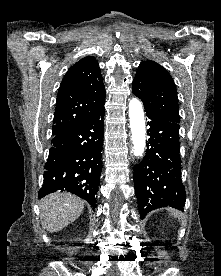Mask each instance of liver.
<instances>
[{
  "label": "liver",
  "mask_w": 221,
  "mask_h": 276,
  "mask_svg": "<svg viewBox=\"0 0 221 276\" xmlns=\"http://www.w3.org/2000/svg\"><path fill=\"white\" fill-rule=\"evenodd\" d=\"M83 210L84 201L71 193L50 194L40 202L41 224L50 233L58 232L74 222Z\"/></svg>",
  "instance_id": "6515ba94"
}]
</instances>
